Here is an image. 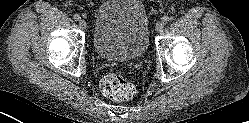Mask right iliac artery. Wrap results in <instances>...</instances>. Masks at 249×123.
Wrapping results in <instances>:
<instances>
[{
  "instance_id": "82829eb1",
  "label": "right iliac artery",
  "mask_w": 249,
  "mask_h": 123,
  "mask_svg": "<svg viewBox=\"0 0 249 123\" xmlns=\"http://www.w3.org/2000/svg\"><path fill=\"white\" fill-rule=\"evenodd\" d=\"M74 19H75V21H79L81 19V17L79 14H75Z\"/></svg>"
}]
</instances>
